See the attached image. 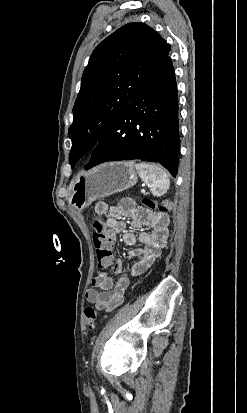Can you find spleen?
Masks as SVG:
<instances>
[{
  "mask_svg": "<svg viewBox=\"0 0 247 413\" xmlns=\"http://www.w3.org/2000/svg\"><path fill=\"white\" fill-rule=\"evenodd\" d=\"M141 164L142 162H138L135 166L137 170H139L142 180L147 182V184H150L152 194H155V196H162V194H165L170 184L167 172H165L163 168H158V166H156V168H153L148 178V176H145L143 170H141Z\"/></svg>",
  "mask_w": 247,
  "mask_h": 413,
  "instance_id": "obj_1",
  "label": "spleen"
}]
</instances>
